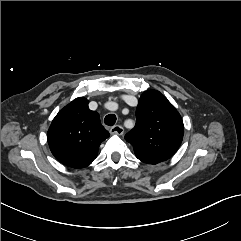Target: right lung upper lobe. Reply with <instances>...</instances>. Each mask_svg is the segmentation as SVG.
<instances>
[{
    "instance_id": "1",
    "label": "right lung upper lobe",
    "mask_w": 241,
    "mask_h": 241,
    "mask_svg": "<svg viewBox=\"0 0 241 241\" xmlns=\"http://www.w3.org/2000/svg\"><path fill=\"white\" fill-rule=\"evenodd\" d=\"M109 137L99 114L91 111L88 100L79 97L59 111L48 130V144L54 157L72 168L90 165L99 145Z\"/></svg>"
}]
</instances>
